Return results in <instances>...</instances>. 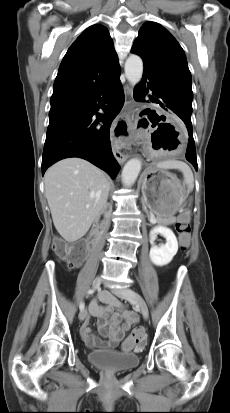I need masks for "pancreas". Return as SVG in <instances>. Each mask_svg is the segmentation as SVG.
Wrapping results in <instances>:
<instances>
[{
	"mask_svg": "<svg viewBox=\"0 0 230 413\" xmlns=\"http://www.w3.org/2000/svg\"><path fill=\"white\" fill-rule=\"evenodd\" d=\"M174 218L173 217H171V218H168V219H166V220H164V221H160L161 223H163V224H165V225H170V224H173L174 223Z\"/></svg>",
	"mask_w": 230,
	"mask_h": 413,
	"instance_id": "obj_1",
	"label": "pancreas"
}]
</instances>
